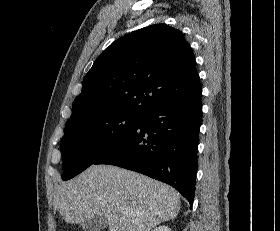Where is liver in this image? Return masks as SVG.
I'll return each mask as SVG.
<instances>
[{
  "mask_svg": "<svg viewBox=\"0 0 280 231\" xmlns=\"http://www.w3.org/2000/svg\"><path fill=\"white\" fill-rule=\"evenodd\" d=\"M55 205L67 223L104 215L109 231H150L176 217L180 199L173 187L142 173L115 165H91L62 183Z\"/></svg>",
  "mask_w": 280,
  "mask_h": 231,
  "instance_id": "obj_1",
  "label": "liver"
}]
</instances>
